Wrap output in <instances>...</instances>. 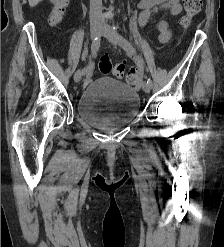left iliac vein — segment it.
<instances>
[{"label": "left iliac vein", "mask_w": 224, "mask_h": 247, "mask_svg": "<svg viewBox=\"0 0 224 247\" xmlns=\"http://www.w3.org/2000/svg\"><path fill=\"white\" fill-rule=\"evenodd\" d=\"M101 33L114 45H120L119 34L114 29H112L108 24H103ZM142 89L145 93H149L151 90V86L147 82H143Z\"/></svg>", "instance_id": "4c4485c4"}]
</instances>
